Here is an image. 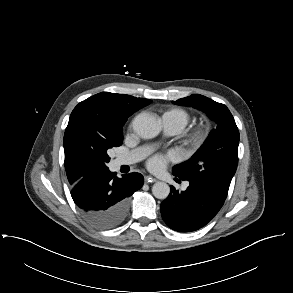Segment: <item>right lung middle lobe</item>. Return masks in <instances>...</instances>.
<instances>
[{
  "instance_id": "dd1d6c3e",
  "label": "right lung middle lobe",
  "mask_w": 293,
  "mask_h": 293,
  "mask_svg": "<svg viewBox=\"0 0 293 293\" xmlns=\"http://www.w3.org/2000/svg\"><path fill=\"white\" fill-rule=\"evenodd\" d=\"M76 125L70 130L69 157L83 175L107 168L109 149L122 145L123 126L129 116L107 111L97 99L81 102ZM100 228H113L123 216L108 215L86 218Z\"/></svg>"
}]
</instances>
